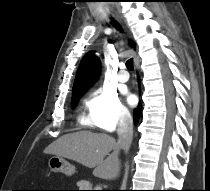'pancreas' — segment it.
<instances>
[{"label": "pancreas", "instance_id": "obj_1", "mask_svg": "<svg viewBox=\"0 0 210 191\" xmlns=\"http://www.w3.org/2000/svg\"><path fill=\"white\" fill-rule=\"evenodd\" d=\"M78 186L81 190H89L92 188V184L89 181H85V180L79 181Z\"/></svg>", "mask_w": 210, "mask_h": 191}]
</instances>
